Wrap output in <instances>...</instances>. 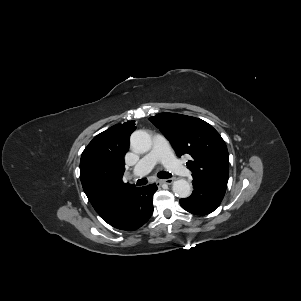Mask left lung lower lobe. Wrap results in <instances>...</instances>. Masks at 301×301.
<instances>
[{
  "label": "left lung lower lobe",
  "instance_id": "0a47b994",
  "mask_svg": "<svg viewBox=\"0 0 301 301\" xmlns=\"http://www.w3.org/2000/svg\"><path fill=\"white\" fill-rule=\"evenodd\" d=\"M194 190L190 197L180 199V205L186 211L196 215H207L218 208L226 189L193 178Z\"/></svg>",
  "mask_w": 301,
  "mask_h": 301
}]
</instances>
